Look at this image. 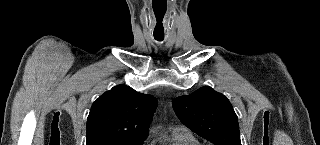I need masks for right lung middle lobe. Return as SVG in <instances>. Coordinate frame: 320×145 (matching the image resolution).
I'll return each instance as SVG.
<instances>
[{
	"mask_svg": "<svg viewBox=\"0 0 320 145\" xmlns=\"http://www.w3.org/2000/svg\"><path fill=\"white\" fill-rule=\"evenodd\" d=\"M143 141L122 142V141H102L95 145H142Z\"/></svg>",
	"mask_w": 320,
	"mask_h": 145,
	"instance_id": "obj_1",
	"label": "right lung middle lobe"
}]
</instances>
